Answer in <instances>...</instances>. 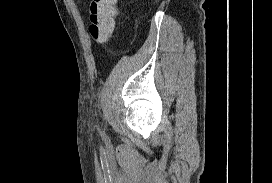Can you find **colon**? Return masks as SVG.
<instances>
[{"instance_id": "5ec220e1", "label": "colon", "mask_w": 272, "mask_h": 183, "mask_svg": "<svg viewBox=\"0 0 272 183\" xmlns=\"http://www.w3.org/2000/svg\"><path fill=\"white\" fill-rule=\"evenodd\" d=\"M119 0H92L90 4L89 32L100 44L106 43L113 34L120 11Z\"/></svg>"}]
</instances>
